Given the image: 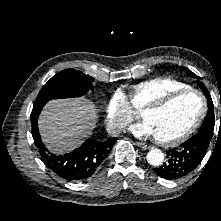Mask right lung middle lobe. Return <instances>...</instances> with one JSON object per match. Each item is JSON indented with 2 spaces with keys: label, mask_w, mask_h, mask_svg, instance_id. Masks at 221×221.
Wrapping results in <instances>:
<instances>
[{
  "label": "right lung middle lobe",
  "mask_w": 221,
  "mask_h": 221,
  "mask_svg": "<svg viewBox=\"0 0 221 221\" xmlns=\"http://www.w3.org/2000/svg\"><path fill=\"white\" fill-rule=\"evenodd\" d=\"M94 79L81 71L66 69L54 75L40 90L35 101L72 98L93 90Z\"/></svg>",
  "instance_id": "right-lung-middle-lobe-1"
}]
</instances>
